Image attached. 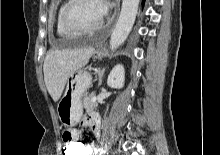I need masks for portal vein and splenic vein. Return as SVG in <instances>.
I'll list each match as a JSON object with an SVG mask.
<instances>
[{
  "instance_id": "18ae733b",
  "label": "portal vein and splenic vein",
  "mask_w": 220,
  "mask_h": 155,
  "mask_svg": "<svg viewBox=\"0 0 220 155\" xmlns=\"http://www.w3.org/2000/svg\"><path fill=\"white\" fill-rule=\"evenodd\" d=\"M95 101H96V95H94L92 98V102H95Z\"/></svg>"
}]
</instances>
